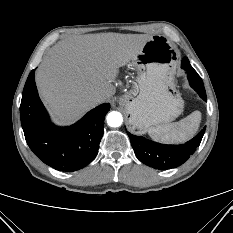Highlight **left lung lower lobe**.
<instances>
[{
	"label": "left lung lower lobe",
	"instance_id": "left-lung-lower-lobe-1",
	"mask_svg": "<svg viewBox=\"0 0 233 233\" xmlns=\"http://www.w3.org/2000/svg\"><path fill=\"white\" fill-rule=\"evenodd\" d=\"M181 68L187 72L191 87L204 101H207L203 82L187 57L183 58ZM205 129L206 127L192 140L182 145H163L131 133H128V136L135 155L141 162L155 169L166 170L178 167L189 159L200 145Z\"/></svg>",
	"mask_w": 233,
	"mask_h": 233
}]
</instances>
